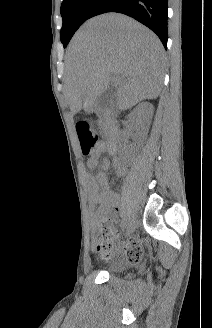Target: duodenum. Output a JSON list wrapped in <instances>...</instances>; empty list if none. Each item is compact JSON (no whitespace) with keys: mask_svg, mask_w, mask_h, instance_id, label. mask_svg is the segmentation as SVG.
Returning <instances> with one entry per match:
<instances>
[{"mask_svg":"<svg viewBox=\"0 0 212 328\" xmlns=\"http://www.w3.org/2000/svg\"><path fill=\"white\" fill-rule=\"evenodd\" d=\"M103 116H104V119L106 122L105 129L108 134L107 148L111 152H114V151H116L117 145H118V134H119L118 125H117L114 114L111 113L110 111L105 112Z\"/></svg>","mask_w":212,"mask_h":328,"instance_id":"obj_1","label":"duodenum"}]
</instances>
